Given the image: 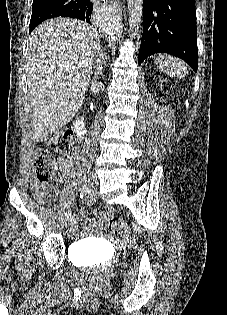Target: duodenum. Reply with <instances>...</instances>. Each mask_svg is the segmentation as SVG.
<instances>
[{"instance_id": "1", "label": "duodenum", "mask_w": 227, "mask_h": 315, "mask_svg": "<svg viewBox=\"0 0 227 315\" xmlns=\"http://www.w3.org/2000/svg\"><path fill=\"white\" fill-rule=\"evenodd\" d=\"M86 130L85 121L82 117H78L75 122V131L80 139L83 138Z\"/></svg>"}]
</instances>
